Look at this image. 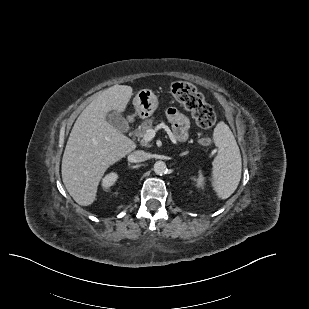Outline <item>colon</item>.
<instances>
[{
  "mask_svg": "<svg viewBox=\"0 0 309 309\" xmlns=\"http://www.w3.org/2000/svg\"><path fill=\"white\" fill-rule=\"evenodd\" d=\"M173 97L181 103L185 109L191 112L197 125L203 129L211 128L216 122V115L212 107L205 101L203 95L190 83L174 82L170 86ZM202 146H208L211 139L203 137L199 140Z\"/></svg>",
  "mask_w": 309,
  "mask_h": 309,
  "instance_id": "obj_1",
  "label": "colon"
}]
</instances>
